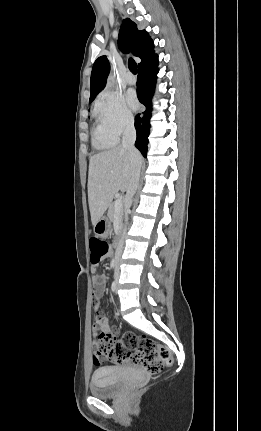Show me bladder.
Segmentation results:
<instances>
[{
  "label": "bladder",
  "mask_w": 261,
  "mask_h": 431,
  "mask_svg": "<svg viewBox=\"0 0 261 431\" xmlns=\"http://www.w3.org/2000/svg\"><path fill=\"white\" fill-rule=\"evenodd\" d=\"M125 373L122 369L105 367L95 370L91 376L90 392L98 398H111L123 388Z\"/></svg>",
  "instance_id": "31cf9c89"
}]
</instances>
